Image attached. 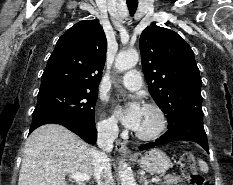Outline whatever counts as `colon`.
I'll return each mask as SVG.
<instances>
[{
  "label": "colon",
  "instance_id": "colon-1",
  "mask_svg": "<svg viewBox=\"0 0 233 185\" xmlns=\"http://www.w3.org/2000/svg\"><path fill=\"white\" fill-rule=\"evenodd\" d=\"M180 171L189 185H206L204 177L198 172L196 161L189 152L180 160Z\"/></svg>",
  "mask_w": 233,
  "mask_h": 185
}]
</instances>
